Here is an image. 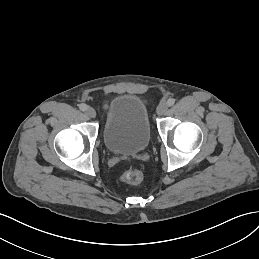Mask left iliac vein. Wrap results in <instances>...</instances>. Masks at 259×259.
I'll return each mask as SVG.
<instances>
[{
  "instance_id": "1",
  "label": "left iliac vein",
  "mask_w": 259,
  "mask_h": 259,
  "mask_svg": "<svg viewBox=\"0 0 259 259\" xmlns=\"http://www.w3.org/2000/svg\"><path fill=\"white\" fill-rule=\"evenodd\" d=\"M167 109H168L167 104L161 103L157 107V114L161 116L166 113Z\"/></svg>"
}]
</instances>
